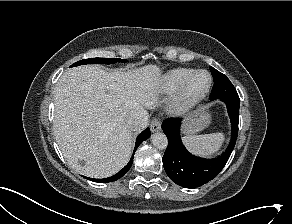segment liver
Instances as JSON below:
<instances>
[{"label":"liver","instance_id":"obj_1","mask_svg":"<svg viewBox=\"0 0 292 224\" xmlns=\"http://www.w3.org/2000/svg\"><path fill=\"white\" fill-rule=\"evenodd\" d=\"M161 69L106 72L95 65L69 69L54 89V134L68 164L82 175L105 178L128 162L131 116L148 123L158 103ZM79 161H84L81 166Z\"/></svg>","mask_w":292,"mask_h":224}]
</instances>
